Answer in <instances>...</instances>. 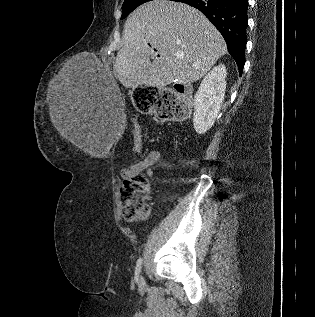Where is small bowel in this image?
<instances>
[{"label": "small bowel", "instance_id": "1", "mask_svg": "<svg viewBox=\"0 0 315 317\" xmlns=\"http://www.w3.org/2000/svg\"><path fill=\"white\" fill-rule=\"evenodd\" d=\"M161 159V153L157 149H152L143 160L133 163L127 167H124L120 171V175L124 180L130 178L134 174L141 172L157 163Z\"/></svg>", "mask_w": 315, "mask_h": 317}]
</instances>
